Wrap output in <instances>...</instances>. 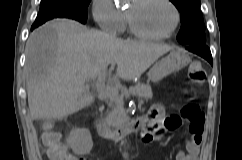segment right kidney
<instances>
[{
	"label": "right kidney",
	"instance_id": "1",
	"mask_svg": "<svg viewBox=\"0 0 242 160\" xmlns=\"http://www.w3.org/2000/svg\"><path fill=\"white\" fill-rule=\"evenodd\" d=\"M66 142L76 155L89 154L93 147L91 133L86 128L71 130Z\"/></svg>",
	"mask_w": 242,
	"mask_h": 160
}]
</instances>
